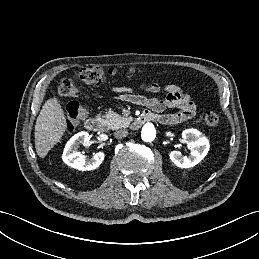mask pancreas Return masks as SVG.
Wrapping results in <instances>:
<instances>
[{"mask_svg": "<svg viewBox=\"0 0 259 259\" xmlns=\"http://www.w3.org/2000/svg\"><path fill=\"white\" fill-rule=\"evenodd\" d=\"M104 118V124L108 127V129H119V128H127L131 123V118L120 116L119 114L109 111L102 115Z\"/></svg>", "mask_w": 259, "mask_h": 259, "instance_id": "pancreas-1", "label": "pancreas"}]
</instances>
